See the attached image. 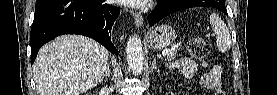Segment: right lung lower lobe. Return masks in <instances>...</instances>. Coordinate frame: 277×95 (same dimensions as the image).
Instances as JSON below:
<instances>
[{
  "mask_svg": "<svg viewBox=\"0 0 277 95\" xmlns=\"http://www.w3.org/2000/svg\"><path fill=\"white\" fill-rule=\"evenodd\" d=\"M119 13V8L105 0H36L31 64L42 45L62 34L88 36L118 56L110 32Z\"/></svg>",
  "mask_w": 277,
  "mask_h": 95,
  "instance_id": "obj_1",
  "label": "right lung lower lobe"
}]
</instances>
